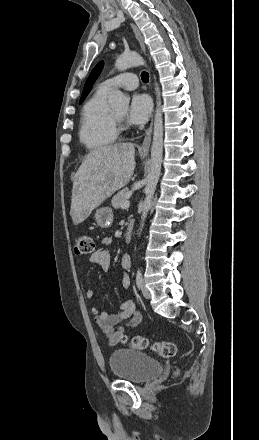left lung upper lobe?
I'll use <instances>...</instances> for the list:
<instances>
[{
    "instance_id": "5c2ea615",
    "label": "left lung upper lobe",
    "mask_w": 259,
    "mask_h": 440,
    "mask_svg": "<svg viewBox=\"0 0 259 440\" xmlns=\"http://www.w3.org/2000/svg\"><path fill=\"white\" fill-rule=\"evenodd\" d=\"M104 63L103 61L99 62L95 68L92 70L90 76L88 77L86 84L84 86V90L80 99V103H82L84 101V99L86 98V96L88 95V93L91 90L92 85L94 84V82L96 81V79L98 78V76L100 75L102 69H103Z\"/></svg>"
}]
</instances>
